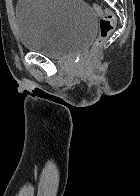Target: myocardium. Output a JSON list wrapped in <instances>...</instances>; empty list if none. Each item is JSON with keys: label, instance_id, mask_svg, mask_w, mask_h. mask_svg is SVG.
I'll use <instances>...</instances> for the list:
<instances>
[{"label": "myocardium", "instance_id": "obj_1", "mask_svg": "<svg viewBox=\"0 0 140 196\" xmlns=\"http://www.w3.org/2000/svg\"><path fill=\"white\" fill-rule=\"evenodd\" d=\"M39 192H48V191H39ZM50 192H59V191H50Z\"/></svg>", "mask_w": 140, "mask_h": 196}]
</instances>
